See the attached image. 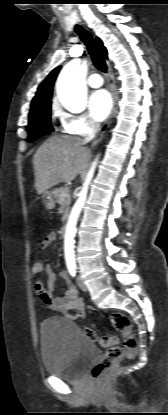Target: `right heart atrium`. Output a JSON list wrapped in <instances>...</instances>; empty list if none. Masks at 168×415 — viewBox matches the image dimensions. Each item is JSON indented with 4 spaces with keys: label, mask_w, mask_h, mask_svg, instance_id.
Segmentation results:
<instances>
[{
    "label": "right heart atrium",
    "mask_w": 168,
    "mask_h": 415,
    "mask_svg": "<svg viewBox=\"0 0 168 415\" xmlns=\"http://www.w3.org/2000/svg\"><path fill=\"white\" fill-rule=\"evenodd\" d=\"M56 115L62 130L68 134L88 136L97 130V124L87 114H73L58 108Z\"/></svg>",
    "instance_id": "right-heart-atrium-1"
}]
</instances>
